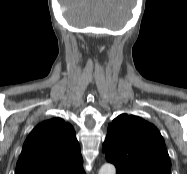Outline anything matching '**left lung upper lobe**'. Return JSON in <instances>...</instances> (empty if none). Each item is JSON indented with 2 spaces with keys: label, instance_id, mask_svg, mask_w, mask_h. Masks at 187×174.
Wrapping results in <instances>:
<instances>
[{
  "label": "left lung upper lobe",
  "instance_id": "left-lung-upper-lobe-1",
  "mask_svg": "<svg viewBox=\"0 0 187 174\" xmlns=\"http://www.w3.org/2000/svg\"><path fill=\"white\" fill-rule=\"evenodd\" d=\"M102 151L117 174H171L165 141L151 123L122 114L108 126Z\"/></svg>",
  "mask_w": 187,
  "mask_h": 174
}]
</instances>
